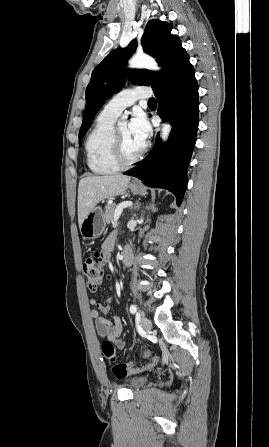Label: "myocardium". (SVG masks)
<instances>
[{
	"label": "myocardium",
	"instance_id": "f54148a6",
	"mask_svg": "<svg viewBox=\"0 0 269 447\" xmlns=\"http://www.w3.org/2000/svg\"><path fill=\"white\" fill-rule=\"evenodd\" d=\"M147 147H148V145L145 144L144 148L137 156H135L134 158H131V159H126L124 150H123V146H122V144L118 138V135H117V129H113V131H112V135H111L112 158H113L114 162L119 167H122V168L129 167V166L137 163L146 153Z\"/></svg>",
	"mask_w": 269,
	"mask_h": 447
}]
</instances>
